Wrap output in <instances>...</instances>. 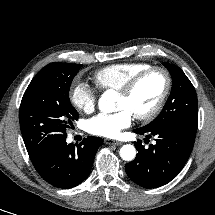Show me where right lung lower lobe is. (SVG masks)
<instances>
[{
	"label": "right lung lower lobe",
	"mask_w": 215,
	"mask_h": 215,
	"mask_svg": "<svg viewBox=\"0 0 215 215\" xmlns=\"http://www.w3.org/2000/svg\"><path fill=\"white\" fill-rule=\"evenodd\" d=\"M103 140L88 137L79 145L66 143V137L44 149L31 161L40 176L58 188H72L89 175L95 154Z\"/></svg>",
	"instance_id": "1"
}]
</instances>
